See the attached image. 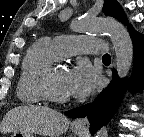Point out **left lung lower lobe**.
Instances as JSON below:
<instances>
[{
  "mask_svg": "<svg viewBox=\"0 0 144 137\" xmlns=\"http://www.w3.org/2000/svg\"><path fill=\"white\" fill-rule=\"evenodd\" d=\"M130 34L133 42L134 71L129 82V88L132 93H135L138 89H142L144 85V42L142 41V35L133 28L130 30ZM116 73L117 71L113 70L115 79L91 104L74 108L65 113L73 118L87 116L90 122L91 134H95L101 126L110 120L120 104L127 80L126 78L120 80Z\"/></svg>",
  "mask_w": 144,
  "mask_h": 137,
  "instance_id": "obj_1",
  "label": "left lung lower lobe"
}]
</instances>
